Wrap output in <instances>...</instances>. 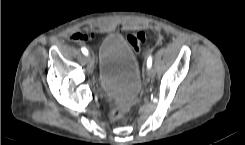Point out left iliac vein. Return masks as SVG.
I'll return each instance as SVG.
<instances>
[{
	"label": "left iliac vein",
	"mask_w": 245,
	"mask_h": 145,
	"mask_svg": "<svg viewBox=\"0 0 245 145\" xmlns=\"http://www.w3.org/2000/svg\"><path fill=\"white\" fill-rule=\"evenodd\" d=\"M147 75L150 77V78H153L155 76V70L151 67H149L147 69Z\"/></svg>",
	"instance_id": "4c4485c4"
}]
</instances>
